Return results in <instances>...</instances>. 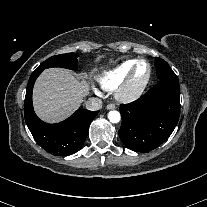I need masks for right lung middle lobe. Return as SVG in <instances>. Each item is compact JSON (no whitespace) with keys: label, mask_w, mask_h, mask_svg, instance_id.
Wrapping results in <instances>:
<instances>
[{"label":"right lung middle lobe","mask_w":207,"mask_h":207,"mask_svg":"<svg viewBox=\"0 0 207 207\" xmlns=\"http://www.w3.org/2000/svg\"><path fill=\"white\" fill-rule=\"evenodd\" d=\"M77 57L75 53L60 54L50 57L45 60L35 71H43L46 68L51 67H63L76 70L77 69Z\"/></svg>","instance_id":"dd1d6c3e"}]
</instances>
